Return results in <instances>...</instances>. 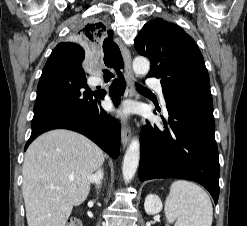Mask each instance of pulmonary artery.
Segmentation results:
<instances>
[{"label":"pulmonary artery","instance_id":"e3ab8cb5","mask_svg":"<svg viewBox=\"0 0 247 226\" xmlns=\"http://www.w3.org/2000/svg\"><path fill=\"white\" fill-rule=\"evenodd\" d=\"M147 86L149 88L156 90L160 94V97L162 99V103H163V105H165V101H164V97H163V93H162V86H161L160 82L156 79H149L147 81Z\"/></svg>","mask_w":247,"mask_h":226}]
</instances>
